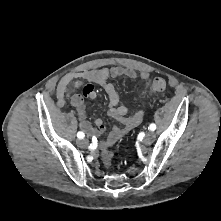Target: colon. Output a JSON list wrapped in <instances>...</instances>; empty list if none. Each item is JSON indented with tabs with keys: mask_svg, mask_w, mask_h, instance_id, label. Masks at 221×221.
I'll list each match as a JSON object with an SVG mask.
<instances>
[{
	"mask_svg": "<svg viewBox=\"0 0 221 221\" xmlns=\"http://www.w3.org/2000/svg\"><path fill=\"white\" fill-rule=\"evenodd\" d=\"M78 85V83H76ZM166 89V82L163 78H154L150 85V91L154 93H161ZM101 159L106 166H110L113 159V153L104 148L101 151Z\"/></svg>",
	"mask_w": 221,
	"mask_h": 221,
	"instance_id": "5ec220e1",
	"label": "colon"
}]
</instances>
